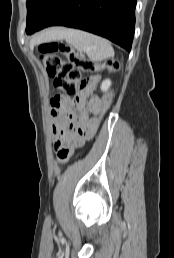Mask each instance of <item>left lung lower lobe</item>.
Returning a JSON list of instances; mask_svg holds the SVG:
<instances>
[{"label":"left lung lower lobe","instance_id":"left-lung-lower-lobe-1","mask_svg":"<svg viewBox=\"0 0 174 258\" xmlns=\"http://www.w3.org/2000/svg\"><path fill=\"white\" fill-rule=\"evenodd\" d=\"M136 1L59 0L36 31L55 25L77 28L105 37L130 51Z\"/></svg>","mask_w":174,"mask_h":258}]
</instances>
